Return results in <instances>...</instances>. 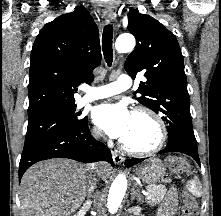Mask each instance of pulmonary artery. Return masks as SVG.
Masks as SVG:
<instances>
[{
    "instance_id": "e3ab8cb5",
    "label": "pulmonary artery",
    "mask_w": 221,
    "mask_h": 216,
    "mask_svg": "<svg viewBox=\"0 0 221 216\" xmlns=\"http://www.w3.org/2000/svg\"><path fill=\"white\" fill-rule=\"evenodd\" d=\"M132 85V80L127 74L119 75L114 82L90 89H85V95L81 100V104L94 100L103 99L115 94L121 93L129 89Z\"/></svg>"
}]
</instances>
